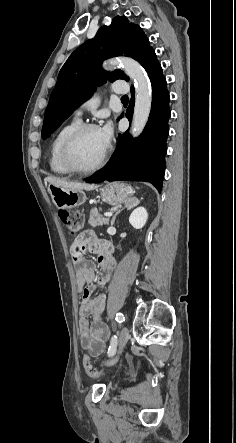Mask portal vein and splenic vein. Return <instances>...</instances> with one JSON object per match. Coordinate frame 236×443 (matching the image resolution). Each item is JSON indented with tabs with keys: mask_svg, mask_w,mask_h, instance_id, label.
I'll return each mask as SVG.
<instances>
[{
	"mask_svg": "<svg viewBox=\"0 0 236 443\" xmlns=\"http://www.w3.org/2000/svg\"><path fill=\"white\" fill-rule=\"evenodd\" d=\"M112 215H113L112 212H106V213H104V216H105V217H111Z\"/></svg>",
	"mask_w": 236,
	"mask_h": 443,
	"instance_id": "1",
	"label": "portal vein and splenic vein"
}]
</instances>
